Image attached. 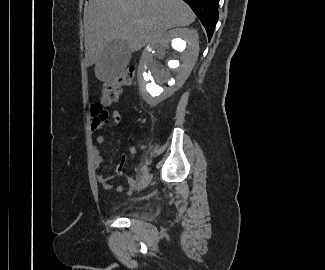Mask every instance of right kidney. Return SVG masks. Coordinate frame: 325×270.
Instances as JSON below:
<instances>
[{
	"instance_id": "ca27d5eb",
	"label": "right kidney",
	"mask_w": 325,
	"mask_h": 270,
	"mask_svg": "<svg viewBox=\"0 0 325 270\" xmlns=\"http://www.w3.org/2000/svg\"><path fill=\"white\" fill-rule=\"evenodd\" d=\"M170 43L173 52H169ZM198 54V34L188 28L170 30L156 43L148 45L138 69L139 90L144 101L156 105L177 91L189 77Z\"/></svg>"
}]
</instances>
